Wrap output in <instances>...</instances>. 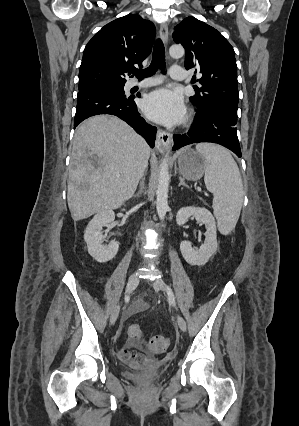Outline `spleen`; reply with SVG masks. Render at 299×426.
I'll return each instance as SVG.
<instances>
[{"label": "spleen", "mask_w": 299, "mask_h": 426, "mask_svg": "<svg viewBox=\"0 0 299 426\" xmlns=\"http://www.w3.org/2000/svg\"><path fill=\"white\" fill-rule=\"evenodd\" d=\"M207 163L206 188L213 193V210L219 230L228 234L236 226L243 202V184L239 168L232 155L223 147L211 143L196 145Z\"/></svg>", "instance_id": "3e777b00"}]
</instances>
